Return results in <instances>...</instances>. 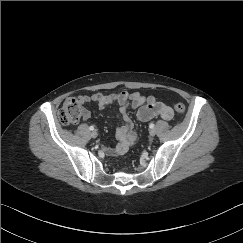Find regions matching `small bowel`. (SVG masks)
Returning <instances> with one entry per match:
<instances>
[{"mask_svg":"<svg viewBox=\"0 0 243 243\" xmlns=\"http://www.w3.org/2000/svg\"><path fill=\"white\" fill-rule=\"evenodd\" d=\"M83 103H94L100 108L117 104L116 117L123 121V124L116 130L117 144L114 147L103 146L102 150L109 156L122 155L127 152L129 147L135 142L133 131L134 123L130 116L129 109H137L136 118L139 122H146L156 116L165 120L173 117V112L169 106L159 102L154 96H144L139 92L129 93L121 91L117 94H93L80 96ZM84 120L89 119L88 110H83Z\"/></svg>","mask_w":243,"mask_h":243,"instance_id":"small-bowel-1","label":"small bowel"}]
</instances>
